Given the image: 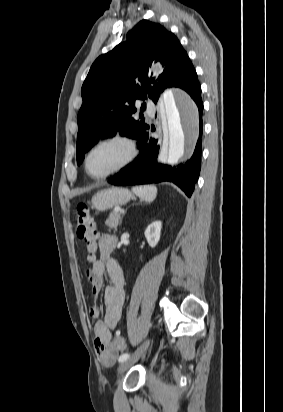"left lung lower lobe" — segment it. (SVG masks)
Wrapping results in <instances>:
<instances>
[{"mask_svg":"<svg viewBox=\"0 0 283 412\" xmlns=\"http://www.w3.org/2000/svg\"><path fill=\"white\" fill-rule=\"evenodd\" d=\"M175 86L188 92L197 104L199 109L201 136L203 104L201 99V87L195 69H192L184 77L180 78ZM151 130H153V128H151ZM151 130L148 126L134 138L138 140L137 144L141 153L133 163L110 177L108 182L113 185H136L168 181L176 184L188 197H190L200 173L201 139H198L195 151L190 160L177 167H171L161 163L157 164L159 141L152 137Z\"/></svg>","mask_w":283,"mask_h":412,"instance_id":"left-lung-lower-lobe-1","label":"left lung lower lobe"}]
</instances>
